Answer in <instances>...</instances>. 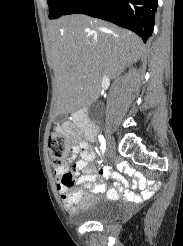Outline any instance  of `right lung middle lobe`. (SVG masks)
Here are the masks:
<instances>
[{"instance_id": "1", "label": "right lung middle lobe", "mask_w": 183, "mask_h": 246, "mask_svg": "<svg viewBox=\"0 0 183 246\" xmlns=\"http://www.w3.org/2000/svg\"><path fill=\"white\" fill-rule=\"evenodd\" d=\"M75 0H47L49 6V18L56 19L62 15L73 5Z\"/></svg>"}]
</instances>
